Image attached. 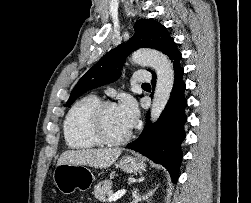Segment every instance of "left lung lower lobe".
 Returning <instances> with one entry per match:
<instances>
[{
	"instance_id": "0a47b994",
	"label": "left lung lower lobe",
	"mask_w": 251,
	"mask_h": 203,
	"mask_svg": "<svg viewBox=\"0 0 251 203\" xmlns=\"http://www.w3.org/2000/svg\"><path fill=\"white\" fill-rule=\"evenodd\" d=\"M165 54L172 61L175 78L169 101L156 123L151 124L147 113V123L143 132L127 147L163 165L176 183L182 160L181 144L186 136L184 130L187 121L185 115L187 100L184 96L186 85L182 79L184 69L180 65L181 53L174 40ZM151 73L153 74L151 83L154 87L156 75L153 71Z\"/></svg>"
}]
</instances>
